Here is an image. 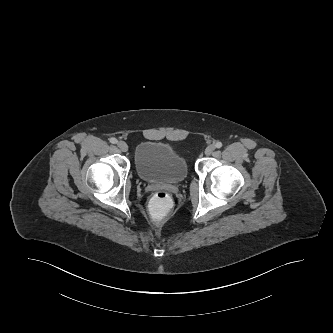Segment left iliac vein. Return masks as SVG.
I'll list each match as a JSON object with an SVG mask.
<instances>
[{
	"label": "left iliac vein",
	"mask_w": 333,
	"mask_h": 333,
	"mask_svg": "<svg viewBox=\"0 0 333 333\" xmlns=\"http://www.w3.org/2000/svg\"><path fill=\"white\" fill-rule=\"evenodd\" d=\"M214 150H215V146L214 145H209L205 149V154L206 155H211L214 152Z\"/></svg>",
	"instance_id": "1"
}]
</instances>
